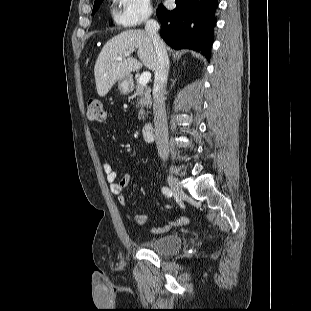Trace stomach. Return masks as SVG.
Here are the masks:
<instances>
[{
    "mask_svg": "<svg viewBox=\"0 0 311 311\" xmlns=\"http://www.w3.org/2000/svg\"><path fill=\"white\" fill-rule=\"evenodd\" d=\"M118 90L121 94L126 95L132 90V79L127 76L118 80Z\"/></svg>",
    "mask_w": 311,
    "mask_h": 311,
    "instance_id": "1",
    "label": "stomach"
}]
</instances>
